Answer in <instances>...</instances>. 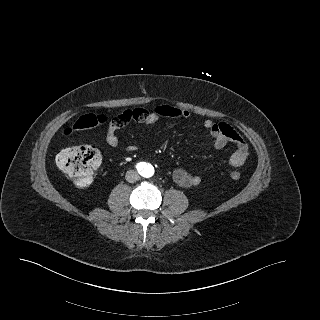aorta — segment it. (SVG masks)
Returning <instances> with one entry per match:
<instances>
[{"mask_svg": "<svg viewBox=\"0 0 320 320\" xmlns=\"http://www.w3.org/2000/svg\"><path fill=\"white\" fill-rule=\"evenodd\" d=\"M153 174H154V168H153L151 165H149V166H148L147 168H145V170L143 171L144 177H147V178L153 176Z\"/></svg>", "mask_w": 320, "mask_h": 320, "instance_id": "762f6f07", "label": "aorta"}]
</instances>
